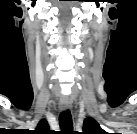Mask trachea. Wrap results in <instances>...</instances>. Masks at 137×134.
Instances as JSON below:
<instances>
[{"instance_id":"1","label":"trachea","mask_w":137,"mask_h":134,"mask_svg":"<svg viewBox=\"0 0 137 134\" xmlns=\"http://www.w3.org/2000/svg\"><path fill=\"white\" fill-rule=\"evenodd\" d=\"M59 124L62 132H71L72 126V116L69 110L63 111L59 116Z\"/></svg>"}]
</instances>
